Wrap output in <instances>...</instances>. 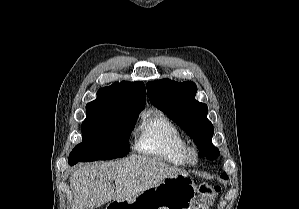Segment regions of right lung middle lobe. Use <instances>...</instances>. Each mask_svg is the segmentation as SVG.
Masks as SVG:
<instances>
[{
  "label": "right lung middle lobe",
  "mask_w": 299,
  "mask_h": 209,
  "mask_svg": "<svg viewBox=\"0 0 299 209\" xmlns=\"http://www.w3.org/2000/svg\"><path fill=\"white\" fill-rule=\"evenodd\" d=\"M138 113L87 112L83 139L69 155L68 163L110 160L129 153L130 132Z\"/></svg>",
  "instance_id": "right-lung-middle-lobe-1"
}]
</instances>
